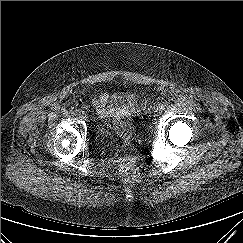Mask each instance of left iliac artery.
I'll use <instances>...</instances> for the list:
<instances>
[{
  "instance_id": "44dca946",
  "label": "left iliac artery",
  "mask_w": 243,
  "mask_h": 243,
  "mask_svg": "<svg viewBox=\"0 0 243 243\" xmlns=\"http://www.w3.org/2000/svg\"><path fill=\"white\" fill-rule=\"evenodd\" d=\"M167 106H168V102H165V103L162 105V108L165 109Z\"/></svg>"
}]
</instances>
